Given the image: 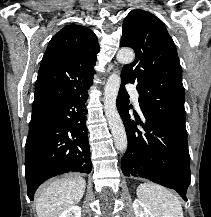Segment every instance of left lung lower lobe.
Returning a JSON list of instances; mask_svg holds the SVG:
<instances>
[{
    "label": "left lung lower lobe",
    "mask_w": 211,
    "mask_h": 217,
    "mask_svg": "<svg viewBox=\"0 0 211 217\" xmlns=\"http://www.w3.org/2000/svg\"><path fill=\"white\" fill-rule=\"evenodd\" d=\"M125 84L121 82L116 103L128 139L121 160L123 174L143 177L174 189L187 201L191 175L186 127L142 110L146 122L140 124L145 133L140 132L129 120V95Z\"/></svg>",
    "instance_id": "left-lung-lower-lobe-1"
}]
</instances>
